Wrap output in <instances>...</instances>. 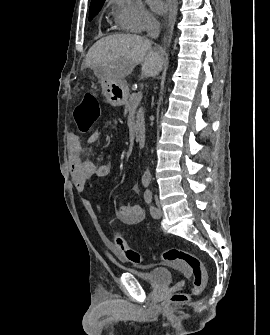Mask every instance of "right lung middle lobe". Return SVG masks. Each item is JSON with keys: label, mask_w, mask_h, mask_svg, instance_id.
<instances>
[{"label": "right lung middle lobe", "mask_w": 270, "mask_h": 335, "mask_svg": "<svg viewBox=\"0 0 270 335\" xmlns=\"http://www.w3.org/2000/svg\"><path fill=\"white\" fill-rule=\"evenodd\" d=\"M103 3H99V4H94V5H90V9H89V20L93 19V17L100 11L101 7L103 6Z\"/></svg>", "instance_id": "right-lung-middle-lobe-1"}]
</instances>
